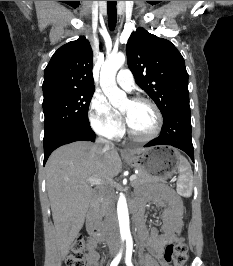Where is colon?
<instances>
[{"label":"colon","instance_id":"obj_1","mask_svg":"<svg viewBox=\"0 0 233 266\" xmlns=\"http://www.w3.org/2000/svg\"><path fill=\"white\" fill-rule=\"evenodd\" d=\"M88 250L85 236H79L73 243L66 259V266H84V259ZM187 245L183 238H178L174 243L167 245L164 259L173 266H184L187 261Z\"/></svg>","mask_w":233,"mask_h":266}]
</instances>
